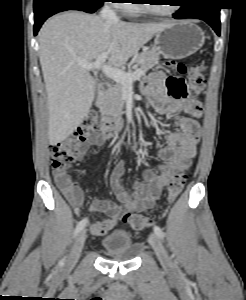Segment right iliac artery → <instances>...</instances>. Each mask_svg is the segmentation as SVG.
I'll list each match as a JSON object with an SVG mask.
<instances>
[{
  "label": "right iliac artery",
  "mask_w": 246,
  "mask_h": 300,
  "mask_svg": "<svg viewBox=\"0 0 246 300\" xmlns=\"http://www.w3.org/2000/svg\"><path fill=\"white\" fill-rule=\"evenodd\" d=\"M88 223V219L87 218H84L82 219L76 226V229L74 231V236L73 237H76L78 235V233L86 226V224ZM65 258L64 257L62 260H60L59 262V266H63L64 265V262H65Z\"/></svg>",
  "instance_id": "right-iliac-artery-1"
}]
</instances>
